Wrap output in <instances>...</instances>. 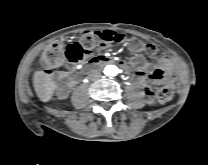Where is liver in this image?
Returning a JSON list of instances; mask_svg holds the SVG:
<instances>
[{
    "label": "liver",
    "mask_w": 208,
    "mask_h": 165,
    "mask_svg": "<svg viewBox=\"0 0 208 165\" xmlns=\"http://www.w3.org/2000/svg\"><path fill=\"white\" fill-rule=\"evenodd\" d=\"M33 83L35 92L42 102H48L51 100L56 86L50 76L45 74L43 71H36Z\"/></svg>",
    "instance_id": "6515ba94"
}]
</instances>
